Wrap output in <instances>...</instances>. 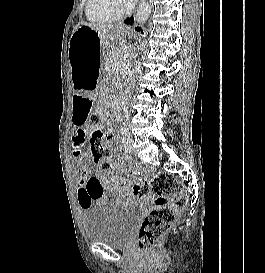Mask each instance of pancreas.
Masks as SVG:
<instances>
[{
    "mask_svg": "<svg viewBox=\"0 0 265 273\" xmlns=\"http://www.w3.org/2000/svg\"><path fill=\"white\" fill-rule=\"evenodd\" d=\"M127 50L125 48H112L107 54L104 61V71L111 73L116 67L120 66L123 62L122 57L126 54Z\"/></svg>",
    "mask_w": 265,
    "mask_h": 273,
    "instance_id": "obj_1",
    "label": "pancreas"
}]
</instances>
